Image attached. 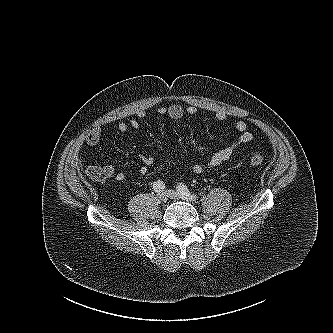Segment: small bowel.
<instances>
[{
    "label": "small bowel",
    "mask_w": 333,
    "mask_h": 333,
    "mask_svg": "<svg viewBox=\"0 0 333 333\" xmlns=\"http://www.w3.org/2000/svg\"><path fill=\"white\" fill-rule=\"evenodd\" d=\"M157 113L160 116H168L173 120H180L184 115H195L197 108L195 106L182 107L180 104H171L168 106L161 105L157 108ZM140 117L144 116V112L139 113ZM218 121H224L226 116L223 112H216L214 115ZM139 123L137 120H131L129 123L120 121L117 123V130L120 133H125L129 129H138ZM235 130L238 137L228 146L214 151L206 163H196L193 165L192 170L196 174H201L208 169L218 167L222 163L228 161L236 148L242 144L249 143L253 140V133L249 131L248 125L245 121L239 120L235 123ZM102 130L100 128L92 129L86 136V143L89 146H96L102 139ZM142 162L139 173L145 175L148 173L150 166L154 163V158L150 155L142 154L140 156ZM81 164L78 160L75 162V167H80ZM87 176L98 182H104L108 179L114 178L117 181H123L126 174L123 171H116L112 165L106 166H89L85 169Z\"/></svg>",
    "instance_id": "small-bowel-1"
}]
</instances>
